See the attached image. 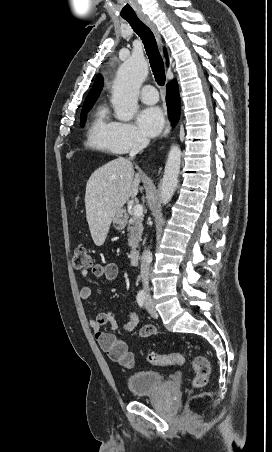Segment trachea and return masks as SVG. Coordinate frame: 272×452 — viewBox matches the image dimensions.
Here are the masks:
<instances>
[{
  "label": "trachea",
  "mask_w": 272,
  "mask_h": 452,
  "mask_svg": "<svg viewBox=\"0 0 272 452\" xmlns=\"http://www.w3.org/2000/svg\"><path fill=\"white\" fill-rule=\"evenodd\" d=\"M124 19L130 24L133 30L141 38L150 60L151 68L156 82L159 85L163 86L166 80L164 63L158 50L157 42L153 32L136 15L124 17Z\"/></svg>",
  "instance_id": "3493384b"
}]
</instances>
